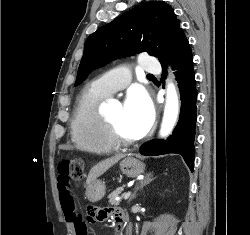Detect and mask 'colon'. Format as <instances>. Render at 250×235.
<instances>
[{
	"label": "colon",
	"instance_id": "5ec220e1",
	"mask_svg": "<svg viewBox=\"0 0 250 235\" xmlns=\"http://www.w3.org/2000/svg\"><path fill=\"white\" fill-rule=\"evenodd\" d=\"M59 179L58 184L60 187L69 189L73 182L79 181L83 177V161L79 158L70 159V160H63L59 163ZM93 212L96 209H90ZM89 210V220L91 221V214ZM76 234L77 235H86V224L82 221H77L76 224Z\"/></svg>",
	"mask_w": 250,
	"mask_h": 235
}]
</instances>
